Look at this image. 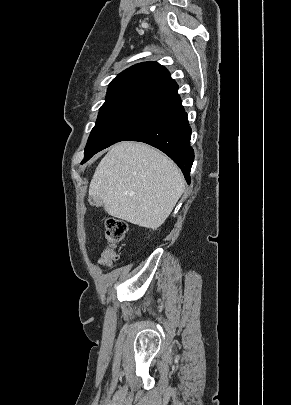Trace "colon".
Masks as SVG:
<instances>
[{
    "label": "colon",
    "instance_id": "1",
    "mask_svg": "<svg viewBox=\"0 0 291 405\" xmlns=\"http://www.w3.org/2000/svg\"><path fill=\"white\" fill-rule=\"evenodd\" d=\"M127 233V225L123 220L110 217L105 222V236L108 245L103 249L99 264L104 267L111 266L118 259L116 245L121 242Z\"/></svg>",
    "mask_w": 291,
    "mask_h": 405
}]
</instances>
